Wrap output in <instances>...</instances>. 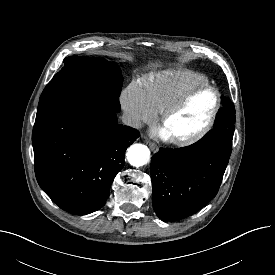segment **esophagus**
<instances>
[{"label":"esophagus","mask_w":275,"mask_h":275,"mask_svg":"<svg viewBox=\"0 0 275 275\" xmlns=\"http://www.w3.org/2000/svg\"><path fill=\"white\" fill-rule=\"evenodd\" d=\"M146 143H147V145L150 147V149L153 152H158L159 148H158V146L155 143H153V142H151L149 140H146Z\"/></svg>","instance_id":"34e87169"}]
</instances>
